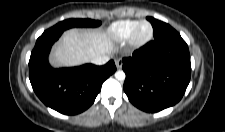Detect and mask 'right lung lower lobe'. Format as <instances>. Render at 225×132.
<instances>
[{
    "label": "right lung lower lobe",
    "instance_id": "98d812e1",
    "mask_svg": "<svg viewBox=\"0 0 225 132\" xmlns=\"http://www.w3.org/2000/svg\"><path fill=\"white\" fill-rule=\"evenodd\" d=\"M62 31L46 30L36 41L29 60V78L34 92L48 107L66 115L89 108L102 83L116 71L113 60L103 66L85 64L54 69L48 63L52 44Z\"/></svg>",
    "mask_w": 225,
    "mask_h": 132
}]
</instances>
